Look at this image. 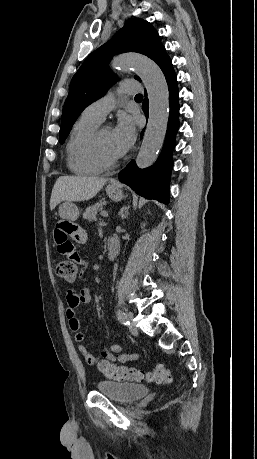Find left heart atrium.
Here are the masks:
<instances>
[{"instance_id": "left-heart-atrium-1", "label": "left heart atrium", "mask_w": 257, "mask_h": 459, "mask_svg": "<svg viewBox=\"0 0 257 459\" xmlns=\"http://www.w3.org/2000/svg\"><path fill=\"white\" fill-rule=\"evenodd\" d=\"M112 138L117 155L119 157L124 155L136 139L135 120L129 115H121L112 130Z\"/></svg>"}]
</instances>
